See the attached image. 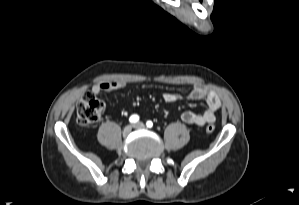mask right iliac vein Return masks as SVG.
I'll return each instance as SVG.
<instances>
[{"label": "right iliac vein", "instance_id": "obj_1", "mask_svg": "<svg viewBox=\"0 0 299 205\" xmlns=\"http://www.w3.org/2000/svg\"><path fill=\"white\" fill-rule=\"evenodd\" d=\"M131 131H132V126L131 125L126 126L123 130V136L128 137Z\"/></svg>", "mask_w": 299, "mask_h": 205}]
</instances>
